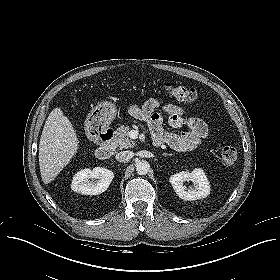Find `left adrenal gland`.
I'll use <instances>...</instances> for the list:
<instances>
[{"label":"left adrenal gland","instance_id":"1","mask_svg":"<svg viewBox=\"0 0 280 280\" xmlns=\"http://www.w3.org/2000/svg\"><path fill=\"white\" fill-rule=\"evenodd\" d=\"M168 155H170V154H163V156H168Z\"/></svg>","mask_w":280,"mask_h":280}]
</instances>
